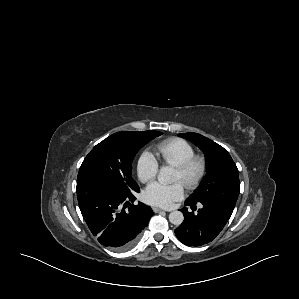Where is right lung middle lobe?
<instances>
[{"label": "right lung middle lobe", "instance_id": "obj_1", "mask_svg": "<svg viewBox=\"0 0 299 299\" xmlns=\"http://www.w3.org/2000/svg\"><path fill=\"white\" fill-rule=\"evenodd\" d=\"M162 133L144 131L126 135L114 133L97 144L84 159L77 181L95 177L103 179L124 191H137L136 181L131 177L132 161L138 150Z\"/></svg>", "mask_w": 299, "mask_h": 299}]
</instances>
